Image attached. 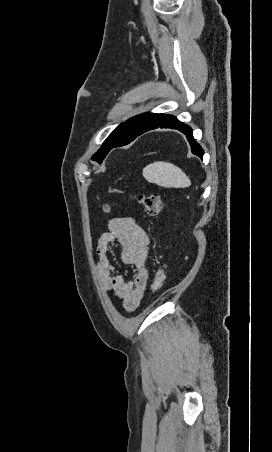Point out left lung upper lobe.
I'll list each match as a JSON object with an SVG mask.
<instances>
[{
  "mask_svg": "<svg viewBox=\"0 0 272 452\" xmlns=\"http://www.w3.org/2000/svg\"><path fill=\"white\" fill-rule=\"evenodd\" d=\"M159 114L145 113L120 124L104 141L101 148L92 156V160L102 162L112 149V143L120 138H131L147 129Z\"/></svg>",
  "mask_w": 272,
  "mask_h": 452,
  "instance_id": "5c2ea615",
  "label": "left lung upper lobe"
}]
</instances>
